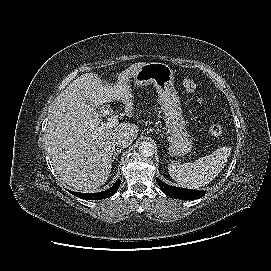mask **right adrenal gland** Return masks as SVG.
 I'll list each match as a JSON object with an SVG mask.
<instances>
[{
	"label": "right adrenal gland",
	"mask_w": 271,
	"mask_h": 271,
	"mask_svg": "<svg viewBox=\"0 0 271 271\" xmlns=\"http://www.w3.org/2000/svg\"><path fill=\"white\" fill-rule=\"evenodd\" d=\"M122 151V149H116L113 157H112V162H114V160L116 159V157L119 155V153Z\"/></svg>",
	"instance_id": "2a0ac1e0"
}]
</instances>
